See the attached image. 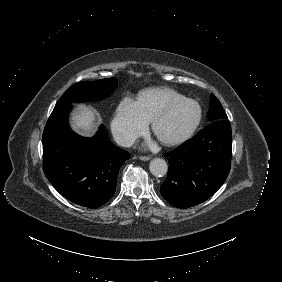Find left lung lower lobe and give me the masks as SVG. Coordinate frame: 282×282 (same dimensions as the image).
I'll list each match as a JSON object with an SVG mask.
<instances>
[{"instance_id":"left-lung-lower-lobe-1","label":"left lung lower lobe","mask_w":282,"mask_h":282,"mask_svg":"<svg viewBox=\"0 0 282 282\" xmlns=\"http://www.w3.org/2000/svg\"><path fill=\"white\" fill-rule=\"evenodd\" d=\"M231 150L230 122L212 121L192 139L165 154L169 169L161 195L174 207L183 209L206 201L229 174Z\"/></svg>"}]
</instances>
